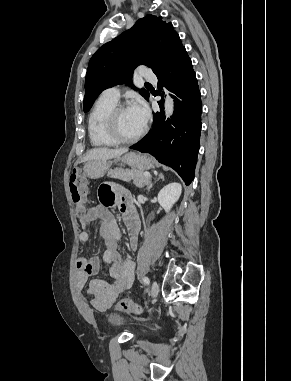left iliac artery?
<instances>
[{
	"mask_svg": "<svg viewBox=\"0 0 291 381\" xmlns=\"http://www.w3.org/2000/svg\"><path fill=\"white\" fill-rule=\"evenodd\" d=\"M143 282H144L145 284L149 285V284H150V279H149L147 276H145V277L143 278Z\"/></svg>",
	"mask_w": 291,
	"mask_h": 381,
	"instance_id": "1",
	"label": "left iliac artery"
}]
</instances>
